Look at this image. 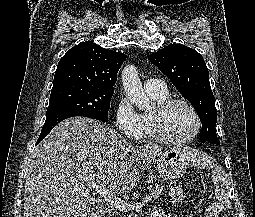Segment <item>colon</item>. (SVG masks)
<instances>
[{
	"instance_id": "1",
	"label": "colon",
	"mask_w": 255,
	"mask_h": 217,
	"mask_svg": "<svg viewBox=\"0 0 255 217\" xmlns=\"http://www.w3.org/2000/svg\"><path fill=\"white\" fill-rule=\"evenodd\" d=\"M169 195L171 202L175 205L183 203L186 199V192L178 182L172 183Z\"/></svg>"
}]
</instances>
